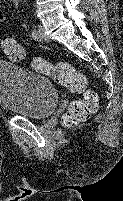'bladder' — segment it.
Segmentation results:
<instances>
[{"label":"bladder","mask_w":123,"mask_h":201,"mask_svg":"<svg viewBox=\"0 0 123 201\" xmlns=\"http://www.w3.org/2000/svg\"><path fill=\"white\" fill-rule=\"evenodd\" d=\"M57 88L45 76L0 61V106L7 112L43 120L56 109Z\"/></svg>","instance_id":"obj_1"}]
</instances>
